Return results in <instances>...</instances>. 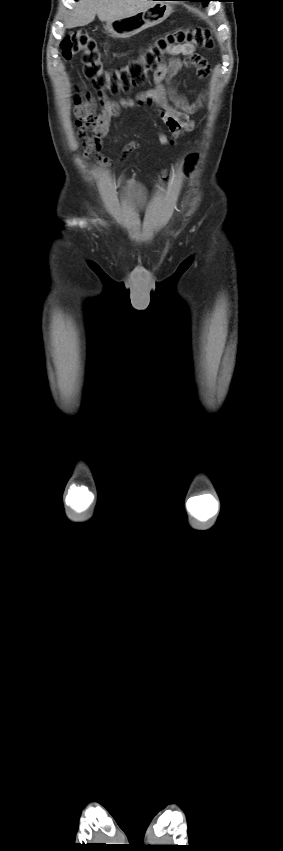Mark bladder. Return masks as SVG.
Instances as JSON below:
<instances>
[{
    "label": "bladder",
    "mask_w": 283,
    "mask_h": 851,
    "mask_svg": "<svg viewBox=\"0 0 283 851\" xmlns=\"http://www.w3.org/2000/svg\"><path fill=\"white\" fill-rule=\"evenodd\" d=\"M123 191L129 202L137 209L143 208L147 203L146 189L135 180H128L123 185Z\"/></svg>",
    "instance_id": "bladder-1"
}]
</instances>
